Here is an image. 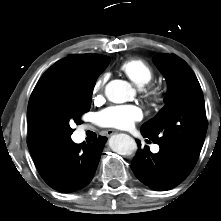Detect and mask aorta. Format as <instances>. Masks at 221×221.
<instances>
[{
    "instance_id": "762f6f07",
    "label": "aorta",
    "mask_w": 221,
    "mask_h": 221,
    "mask_svg": "<svg viewBox=\"0 0 221 221\" xmlns=\"http://www.w3.org/2000/svg\"><path fill=\"white\" fill-rule=\"evenodd\" d=\"M105 95L113 103H124L134 95V90L126 81L112 80L105 88ZM110 146L120 155L131 154L137 149L135 141L126 134L113 135L110 139Z\"/></svg>"
}]
</instances>
